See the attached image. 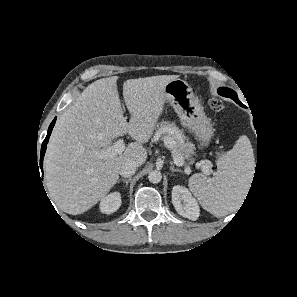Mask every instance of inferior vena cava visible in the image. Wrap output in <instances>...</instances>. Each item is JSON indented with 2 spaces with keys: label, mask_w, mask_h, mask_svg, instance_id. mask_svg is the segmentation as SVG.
<instances>
[{
  "label": "inferior vena cava",
  "mask_w": 297,
  "mask_h": 297,
  "mask_svg": "<svg viewBox=\"0 0 297 297\" xmlns=\"http://www.w3.org/2000/svg\"><path fill=\"white\" fill-rule=\"evenodd\" d=\"M137 167L134 161L129 160L120 167L119 173L122 177L128 178L135 174Z\"/></svg>",
  "instance_id": "602c4592"
}]
</instances>
